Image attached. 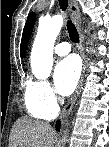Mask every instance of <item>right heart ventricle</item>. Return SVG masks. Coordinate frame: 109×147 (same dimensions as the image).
Wrapping results in <instances>:
<instances>
[{
	"label": "right heart ventricle",
	"instance_id": "obj_1",
	"mask_svg": "<svg viewBox=\"0 0 109 147\" xmlns=\"http://www.w3.org/2000/svg\"><path fill=\"white\" fill-rule=\"evenodd\" d=\"M31 85H32V83L27 85L26 94H25V106H26L28 113L32 117L38 118V119H48V117H50V116L55 117L56 113L49 112V111L43 109L42 107H40L34 101L30 100L28 92H29Z\"/></svg>",
	"mask_w": 109,
	"mask_h": 147
}]
</instances>
